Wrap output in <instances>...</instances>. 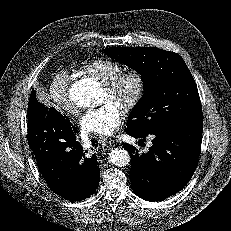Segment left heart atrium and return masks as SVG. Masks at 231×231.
Listing matches in <instances>:
<instances>
[{"instance_id": "left-heart-atrium-1", "label": "left heart atrium", "mask_w": 231, "mask_h": 231, "mask_svg": "<svg viewBox=\"0 0 231 231\" xmlns=\"http://www.w3.org/2000/svg\"><path fill=\"white\" fill-rule=\"evenodd\" d=\"M121 107L112 101L87 111L80 120V127L85 133L109 135L121 123Z\"/></svg>"}]
</instances>
